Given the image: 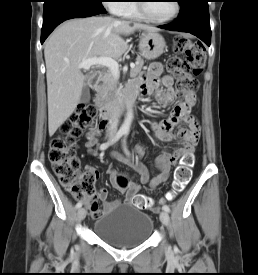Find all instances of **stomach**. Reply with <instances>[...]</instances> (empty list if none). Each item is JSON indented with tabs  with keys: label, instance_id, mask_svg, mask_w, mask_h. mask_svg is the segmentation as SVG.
I'll return each instance as SVG.
<instances>
[{
	"label": "stomach",
	"instance_id": "1",
	"mask_svg": "<svg viewBox=\"0 0 258 275\" xmlns=\"http://www.w3.org/2000/svg\"><path fill=\"white\" fill-rule=\"evenodd\" d=\"M165 47V40L158 32L145 31L140 36V54L147 60L158 58L164 52Z\"/></svg>",
	"mask_w": 258,
	"mask_h": 275
}]
</instances>
